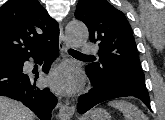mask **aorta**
Returning a JSON list of instances; mask_svg holds the SVG:
<instances>
[{"label": "aorta", "mask_w": 165, "mask_h": 120, "mask_svg": "<svg viewBox=\"0 0 165 120\" xmlns=\"http://www.w3.org/2000/svg\"><path fill=\"white\" fill-rule=\"evenodd\" d=\"M66 34L69 42L74 47H79L85 43L89 37L86 25L81 21H70L66 26Z\"/></svg>", "instance_id": "aorta-1"}]
</instances>
